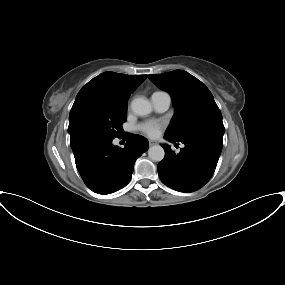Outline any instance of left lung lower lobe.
Instances as JSON below:
<instances>
[{
	"instance_id": "1",
	"label": "left lung lower lobe",
	"mask_w": 285,
	"mask_h": 285,
	"mask_svg": "<svg viewBox=\"0 0 285 285\" xmlns=\"http://www.w3.org/2000/svg\"><path fill=\"white\" fill-rule=\"evenodd\" d=\"M171 142L175 141L165 136ZM184 148L176 155L168 145L164 159L158 164L161 181L180 192H193L203 187L212 177L221 154L223 141L200 137L182 141Z\"/></svg>"
}]
</instances>
